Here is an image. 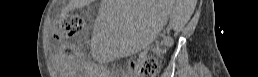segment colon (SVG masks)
<instances>
[{
    "instance_id": "5ec220e1",
    "label": "colon",
    "mask_w": 258,
    "mask_h": 77,
    "mask_svg": "<svg viewBox=\"0 0 258 77\" xmlns=\"http://www.w3.org/2000/svg\"><path fill=\"white\" fill-rule=\"evenodd\" d=\"M82 29V19L78 15L68 14L58 23L56 37H72ZM158 69L154 57H142L131 62L130 71L135 77H153Z\"/></svg>"
}]
</instances>
